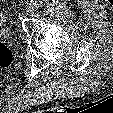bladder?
<instances>
[{"label":"bladder","instance_id":"obj_1","mask_svg":"<svg viewBox=\"0 0 113 113\" xmlns=\"http://www.w3.org/2000/svg\"><path fill=\"white\" fill-rule=\"evenodd\" d=\"M5 31L4 15L0 14V35Z\"/></svg>","mask_w":113,"mask_h":113}]
</instances>
